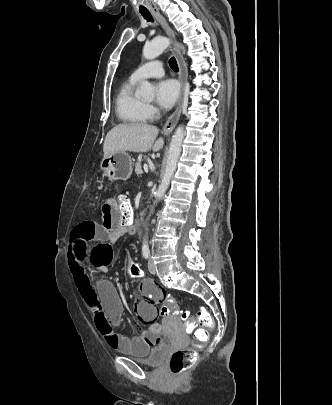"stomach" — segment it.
<instances>
[{
    "mask_svg": "<svg viewBox=\"0 0 332 405\" xmlns=\"http://www.w3.org/2000/svg\"><path fill=\"white\" fill-rule=\"evenodd\" d=\"M101 169L110 180L128 179L132 174L133 164L128 153L122 151L103 158Z\"/></svg>",
    "mask_w": 332,
    "mask_h": 405,
    "instance_id": "stomach-1",
    "label": "stomach"
}]
</instances>
